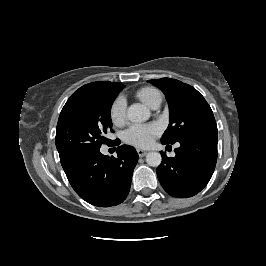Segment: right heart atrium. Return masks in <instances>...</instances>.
<instances>
[{
	"mask_svg": "<svg viewBox=\"0 0 266 266\" xmlns=\"http://www.w3.org/2000/svg\"><path fill=\"white\" fill-rule=\"evenodd\" d=\"M110 116L113 123L120 125L126 120V102L122 96H119L112 104Z\"/></svg>",
	"mask_w": 266,
	"mask_h": 266,
	"instance_id": "right-heart-atrium-1",
	"label": "right heart atrium"
}]
</instances>
